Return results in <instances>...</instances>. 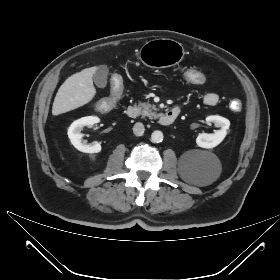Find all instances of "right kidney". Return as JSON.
<instances>
[{
	"mask_svg": "<svg viewBox=\"0 0 280 280\" xmlns=\"http://www.w3.org/2000/svg\"><path fill=\"white\" fill-rule=\"evenodd\" d=\"M100 119L96 116L82 117L75 120L68 129V137L72 145L79 151L84 153H98L101 151V145L98 142L88 144L87 141L83 140V134L81 130L85 126H92L98 123Z\"/></svg>",
	"mask_w": 280,
	"mask_h": 280,
	"instance_id": "right-kidney-1",
	"label": "right kidney"
}]
</instances>
